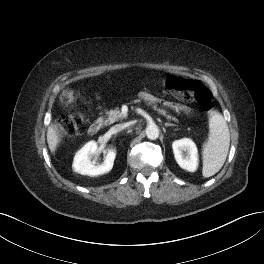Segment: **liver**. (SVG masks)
Listing matches in <instances>:
<instances>
[{
    "instance_id": "6515ba94",
    "label": "liver",
    "mask_w": 264,
    "mask_h": 264,
    "mask_svg": "<svg viewBox=\"0 0 264 264\" xmlns=\"http://www.w3.org/2000/svg\"><path fill=\"white\" fill-rule=\"evenodd\" d=\"M60 141L58 129L52 125L49 126L47 129V143L51 153H55Z\"/></svg>"
}]
</instances>
